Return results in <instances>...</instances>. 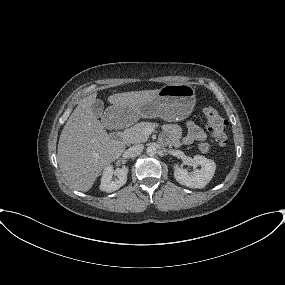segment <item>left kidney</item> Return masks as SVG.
<instances>
[{
  "label": "left kidney",
  "mask_w": 285,
  "mask_h": 285,
  "mask_svg": "<svg viewBox=\"0 0 285 285\" xmlns=\"http://www.w3.org/2000/svg\"><path fill=\"white\" fill-rule=\"evenodd\" d=\"M194 166H201V169H195L189 173L183 167L174 166V177L177 182L189 188H204L212 179L216 164L213 160L207 159L202 155H195L193 157Z\"/></svg>",
  "instance_id": "obj_1"
}]
</instances>
